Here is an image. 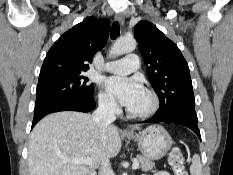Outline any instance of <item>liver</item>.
Here are the masks:
<instances>
[{"label": "liver", "mask_w": 233, "mask_h": 175, "mask_svg": "<svg viewBox=\"0 0 233 175\" xmlns=\"http://www.w3.org/2000/svg\"><path fill=\"white\" fill-rule=\"evenodd\" d=\"M120 149L121 139L116 126L109 125L103 135L91 114L53 113L38 122L31 132L29 175H88L103 160L117 156ZM73 158H91L93 165L68 161Z\"/></svg>", "instance_id": "liver-1"}]
</instances>
